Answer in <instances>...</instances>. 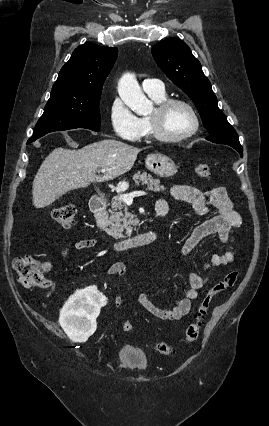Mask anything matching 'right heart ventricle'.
I'll use <instances>...</instances> for the list:
<instances>
[{
  "mask_svg": "<svg viewBox=\"0 0 269 426\" xmlns=\"http://www.w3.org/2000/svg\"><path fill=\"white\" fill-rule=\"evenodd\" d=\"M151 97V99L155 102V103H160L162 101H164L166 98V95H149ZM141 122V126H142V136H150V131H149V127H148V123H147V118L143 117L140 119Z\"/></svg>",
  "mask_w": 269,
  "mask_h": 426,
  "instance_id": "obj_1",
  "label": "right heart ventricle"
}]
</instances>
